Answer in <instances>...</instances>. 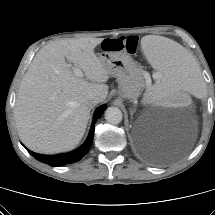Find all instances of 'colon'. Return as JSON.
Here are the masks:
<instances>
[{"instance_id": "1", "label": "colon", "mask_w": 215, "mask_h": 215, "mask_svg": "<svg viewBox=\"0 0 215 215\" xmlns=\"http://www.w3.org/2000/svg\"><path fill=\"white\" fill-rule=\"evenodd\" d=\"M101 47L105 51H121L133 55L138 50V37L135 35H128L115 39L105 38L101 42Z\"/></svg>"}]
</instances>
